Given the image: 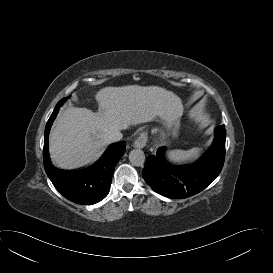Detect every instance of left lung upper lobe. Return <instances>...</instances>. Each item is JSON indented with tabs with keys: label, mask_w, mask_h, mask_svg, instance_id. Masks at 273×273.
Instances as JSON below:
<instances>
[{
	"label": "left lung upper lobe",
	"mask_w": 273,
	"mask_h": 273,
	"mask_svg": "<svg viewBox=\"0 0 273 273\" xmlns=\"http://www.w3.org/2000/svg\"><path fill=\"white\" fill-rule=\"evenodd\" d=\"M215 139H221V141H223V143H225L226 140V130H225V126H217L215 129Z\"/></svg>",
	"instance_id": "5c2ea615"
}]
</instances>
